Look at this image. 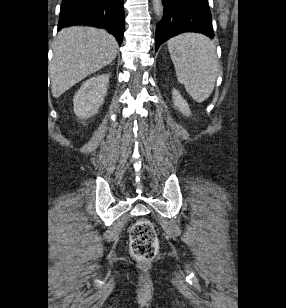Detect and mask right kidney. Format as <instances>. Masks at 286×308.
<instances>
[{"instance_id": "1", "label": "right kidney", "mask_w": 286, "mask_h": 308, "mask_svg": "<svg viewBox=\"0 0 286 308\" xmlns=\"http://www.w3.org/2000/svg\"><path fill=\"white\" fill-rule=\"evenodd\" d=\"M109 75L102 74L88 79L73 98L74 113L80 119H87L98 112L104 103Z\"/></svg>"}]
</instances>
